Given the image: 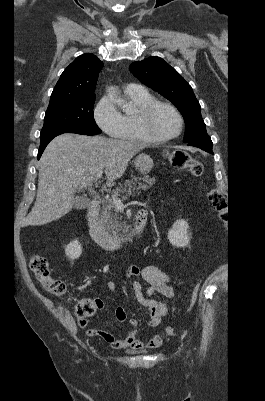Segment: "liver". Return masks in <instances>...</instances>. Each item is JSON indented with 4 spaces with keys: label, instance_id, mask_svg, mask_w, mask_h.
<instances>
[{
    "label": "liver",
    "instance_id": "1",
    "mask_svg": "<svg viewBox=\"0 0 265 401\" xmlns=\"http://www.w3.org/2000/svg\"><path fill=\"white\" fill-rule=\"evenodd\" d=\"M145 146L149 144L105 136L69 132L56 136L39 160L36 201L25 225H47L67 215L75 205V192L89 186L102 168L106 184L113 186L132 156Z\"/></svg>",
    "mask_w": 265,
    "mask_h": 401
}]
</instances>
